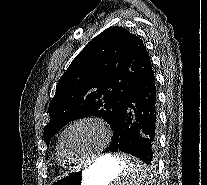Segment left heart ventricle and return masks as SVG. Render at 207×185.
Here are the masks:
<instances>
[{"instance_id": "1", "label": "left heart ventricle", "mask_w": 207, "mask_h": 185, "mask_svg": "<svg viewBox=\"0 0 207 185\" xmlns=\"http://www.w3.org/2000/svg\"><path fill=\"white\" fill-rule=\"evenodd\" d=\"M107 137L95 123L84 122L72 127L63 139V149L72 159H80L100 151Z\"/></svg>"}]
</instances>
